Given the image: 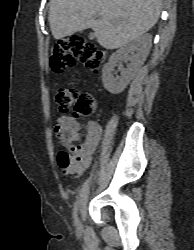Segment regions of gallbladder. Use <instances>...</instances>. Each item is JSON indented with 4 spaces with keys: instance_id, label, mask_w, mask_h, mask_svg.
I'll return each mask as SVG.
<instances>
[{
    "instance_id": "bac80fb5",
    "label": "gallbladder",
    "mask_w": 194,
    "mask_h": 250,
    "mask_svg": "<svg viewBox=\"0 0 194 250\" xmlns=\"http://www.w3.org/2000/svg\"><path fill=\"white\" fill-rule=\"evenodd\" d=\"M89 38H90V39L93 38V34H90V35H89Z\"/></svg>"
}]
</instances>
